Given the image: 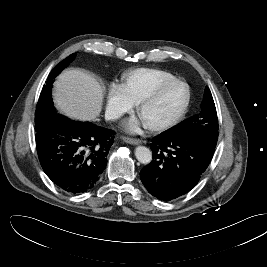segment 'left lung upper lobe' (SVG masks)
<instances>
[{
    "instance_id": "5c2ea615",
    "label": "left lung upper lobe",
    "mask_w": 267,
    "mask_h": 267,
    "mask_svg": "<svg viewBox=\"0 0 267 267\" xmlns=\"http://www.w3.org/2000/svg\"><path fill=\"white\" fill-rule=\"evenodd\" d=\"M172 136L192 135L215 148L218 140V119L212 94L205 88L201 111L173 128L163 132Z\"/></svg>"
}]
</instances>
